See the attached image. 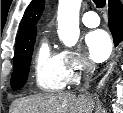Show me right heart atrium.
Listing matches in <instances>:
<instances>
[{
  "instance_id": "d8ad5b80",
  "label": "right heart atrium",
  "mask_w": 123,
  "mask_h": 113,
  "mask_svg": "<svg viewBox=\"0 0 123 113\" xmlns=\"http://www.w3.org/2000/svg\"><path fill=\"white\" fill-rule=\"evenodd\" d=\"M60 58L61 70L67 85L78 83L82 75L92 69L91 63L76 51L63 50Z\"/></svg>"
}]
</instances>
